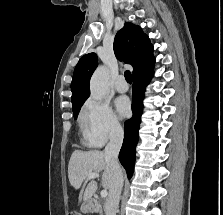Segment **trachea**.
I'll use <instances>...</instances> for the list:
<instances>
[{"label":"trachea","instance_id":"1","mask_svg":"<svg viewBox=\"0 0 223 215\" xmlns=\"http://www.w3.org/2000/svg\"><path fill=\"white\" fill-rule=\"evenodd\" d=\"M125 79L127 80L128 83H132V76H131V72H129V70H127L124 73Z\"/></svg>","mask_w":223,"mask_h":215}]
</instances>
